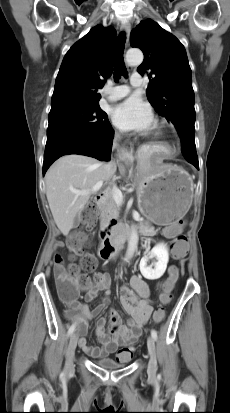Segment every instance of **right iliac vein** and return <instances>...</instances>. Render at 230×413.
<instances>
[{"instance_id": "63e3f726", "label": "right iliac vein", "mask_w": 230, "mask_h": 413, "mask_svg": "<svg viewBox=\"0 0 230 413\" xmlns=\"http://www.w3.org/2000/svg\"><path fill=\"white\" fill-rule=\"evenodd\" d=\"M77 341H78V336L77 333L74 332L70 336L69 340V346H68V351H67V356H66V370L71 371L73 369V359H74V353L75 349L77 346Z\"/></svg>"}]
</instances>
